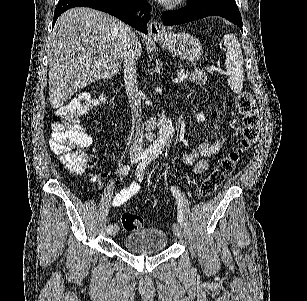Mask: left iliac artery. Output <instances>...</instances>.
Here are the masks:
<instances>
[{
    "label": "left iliac artery",
    "mask_w": 307,
    "mask_h": 301,
    "mask_svg": "<svg viewBox=\"0 0 307 301\" xmlns=\"http://www.w3.org/2000/svg\"><path fill=\"white\" fill-rule=\"evenodd\" d=\"M151 160H152L151 158L148 159V160H144V161L140 162L139 165L137 166L136 175H137V178L139 179V181H142L144 171L147 168L148 164L151 162ZM171 192H172L173 196L175 197L177 204H178L177 219H178L179 224L182 226L183 225V198H182L179 190L176 187L171 186Z\"/></svg>",
    "instance_id": "1"
}]
</instances>
